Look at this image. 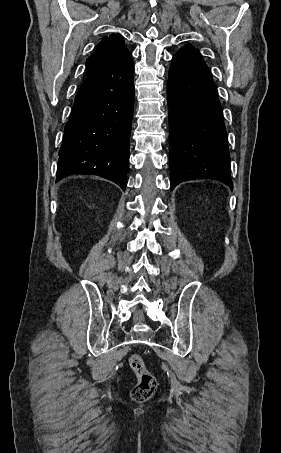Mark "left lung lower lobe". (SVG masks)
<instances>
[{
    "label": "left lung lower lobe",
    "instance_id": "1",
    "mask_svg": "<svg viewBox=\"0 0 281 453\" xmlns=\"http://www.w3.org/2000/svg\"><path fill=\"white\" fill-rule=\"evenodd\" d=\"M171 188L187 180L214 179L231 189L222 108L210 71L192 46L173 57L168 76Z\"/></svg>",
    "mask_w": 281,
    "mask_h": 453
}]
</instances>
